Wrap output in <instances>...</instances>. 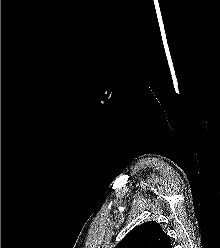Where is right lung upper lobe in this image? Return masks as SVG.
Here are the masks:
<instances>
[{
	"instance_id": "obj_1",
	"label": "right lung upper lobe",
	"mask_w": 220,
	"mask_h": 248,
	"mask_svg": "<svg viewBox=\"0 0 220 248\" xmlns=\"http://www.w3.org/2000/svg\"><path fill=\"white\" fill-rule=\"evenodd\" d=\"M115 248H171L159 223L149 221L132 229Z\"/></svg>"
}]
</instances>
